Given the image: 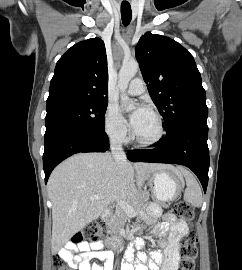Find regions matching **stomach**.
<instances>
[{"instance_id": "obj_1", "label": "stomach", "mask_w": 242, "mask_h": 270, "mask_svg": "<svg viewBox=\"0 0 242 270\" xmlns=\"http://www.w3.org/2000/svg\"><path fill=\"white\" fill-rule=\"evenodd\" d=\"M152 192L159 201L176 199L184 186L181 174L169 168L157 170L148 177Z\"/></svg>"}]
</instances>
